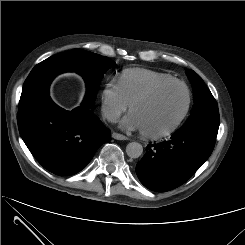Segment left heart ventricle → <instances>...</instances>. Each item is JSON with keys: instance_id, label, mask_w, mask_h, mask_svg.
I'll return each mask as SVG.
<instances>
[{"instance_id": "left-heart-ventricle-1", "label": "left heart ventricle", "mask_w": 245, "mask_h": 245, "mask_svg": "<svg viewBox=\"0 0 245 245\" xmlns=\"http://www.w3.org/2000/svg\"><path fill=\"white\" fill-rule=\"evenodd\" d=\"M186 91L179 85L160 90L150 100L136 105L133 113L141 130L158 133L170 128L179 118L186 105Z\"/></svg>"}]
</instances>
